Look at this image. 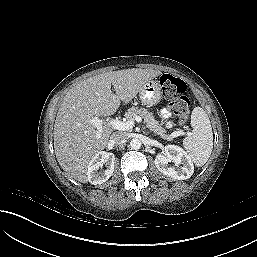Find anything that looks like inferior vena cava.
<instances>
[{
    "label": "inferior vena cava",
    "instance_id": "obj_1",
    "mask_svg": "<svg viewBox=\"0 0 257 257\" xmlns=\"http://www.w3.org/2000/svg\"><path fill=\"white\" fill-rule=\"evenodd\" d=\"M127 135L123 132H115L111 135L110 137V143L111 144H119V143H123L127 140Z\"/></svg>",
    "mask_w": 257,
    "mask_h": 257
}]
</instances>
